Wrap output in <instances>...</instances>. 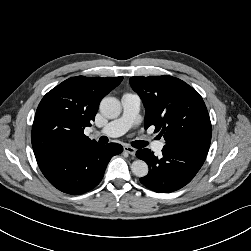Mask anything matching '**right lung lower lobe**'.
I'll return each mask as SVG.
<instances>
[{"mask_svg": "<svg viewBox=\"0 0 251 251\" xmlns=\"http://www.w3.org/2000/svg\"><path fill=\"white\" fill-rule=\"evenodd\" d=\"M123 151L120 144H93L74 150L36 156L40 170L57 189L68 194H83L103 178L110 159Z\"/></svg>", "mask_w": 251, "mask_h": 251, "instance_id": "right-lung-lower-lobe-1", "label": "right lung lower lobe"}]
</instances>
